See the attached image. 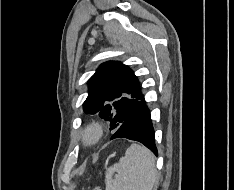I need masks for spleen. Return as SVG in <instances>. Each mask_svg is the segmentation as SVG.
Segmentation results:
<instances>
[{
  "instance_id": "spleen-1",
  "label": "spleen",
  "mask_w": 234,
  "mask_h": 190,
  "mask_svg": "<svg viewBox=\"0 0 234 190\" xmlns=\"http://www.w3.org/2000/svg\"><path fill=\"white\" fill-rule=\"evenodd\" d=\"M156 177L154 155L146 147L132 144L125 156L108 168L106 190H152Z\"/></svg>"
}]
</instances>
